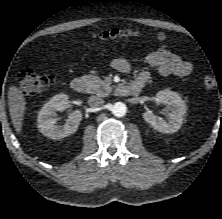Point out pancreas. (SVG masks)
Masks as SVG:
<instances>
[{
    "label": "pancreas",
    "instance_id": "cf45deb5",
    "mask_svg": "<svg viewBox=\"0 0 222 219\" xmlns=\"http://www.w3.org/2000/svg\"><path fill=\"white\" fill-rule=\"evenodd\" d=\"M83 79L86 81L88 93L107 96L112 90V87L98 76L84 75Z\"/></svg>",
    "mask_w": 222,
    "mask_h": 219
}]
</instances>
